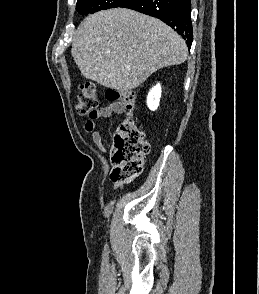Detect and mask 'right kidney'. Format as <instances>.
Here are the masks:
<instances>
[{
  "label": "right kidney",
  "mask_w": 259,
  "mask_h": 294,
  "mask_svg": "<svg viewBox=\"0 0 259 294\" xmlns=\"http://www.w3.org/2000/svg\"><path fill=\"white\" fill-rule=\"evenodd\" d=\"M160 98H161V86L158 83L148 93V96H147L148 108L152 111H155L159 106Z\"/></svg>",
  "instance_id": "1"
}]
</instances>
